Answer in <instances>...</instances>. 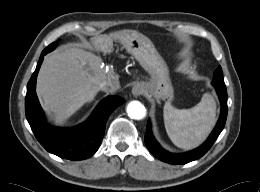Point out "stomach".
Segmentation results:
<instances>
[{"label": "stomach", "instance_id": "obj_1", "mask_svg": "<svg viewBox=\"0 0 260 192\" xmlns=\"http://www.w3.org/2000/svg\"><path fill=\"white\" fill-rule=\"evenodd\" d=\"M118 39L151 75L150 82L145 84L146 94L156 100H172L174 89L168 67L150 39L130 30L119 32Z\"/></svg>", "mask_w": 260, "mask_h": 192}]
</instances>
